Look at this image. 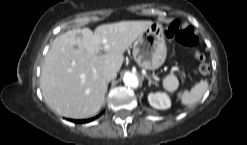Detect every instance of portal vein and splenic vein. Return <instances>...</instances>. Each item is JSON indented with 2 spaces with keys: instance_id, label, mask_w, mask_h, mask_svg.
<instances>
[{
  "instance_id": "portal-vein-and-splenic-vein-1",
  "label": "portal vein and splenic vein",
  "mask_w": 247,
  "mask_h": 145,
  "mask_svg": "<svg viewBox=\"0 0 247 145\" xmlns=\"http://www.w3.org/2000/svg\"><path fill=\"white\" fill-rule=\"evenodd\" d=\"M104 43H106V41H104ZM176 69H177L176 67L173 68V70H176Z\"/></svg>"
}]
</instances>
